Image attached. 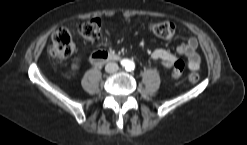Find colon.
Instances as JSON below:
<instances>
[{"mask_svg": "<svg viewBox=\"0 0 247 145\" xmlns=\"http://www.w3.org/2000/svg\"><path fill=\"white\" fill-rule=\"evenodd\" d=\"M102 21L99 18H91L83 22L79 31L81 35L87 40H97L101 35ZM150 30L155 35L162 38H171L175 34V25L171 21L155 22L150 25ZM75 51V43L69 30L65 27H60L55 30L52 36V44L50 47V55L55 59H65L71 56ZM184 62L176 60L173 64V75L180 77L184 71ZM189 81L191 83H197L199 81V75L197 73H191L189 75Z\"/></svg>", "mask_w": 247, "mask_h": 145, "instance_id": "colon-1", "label": "colon"}]
</instances>
